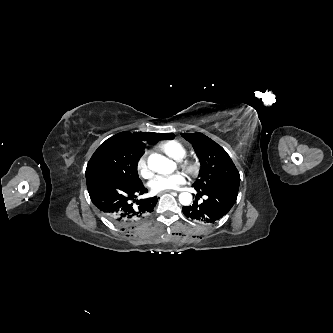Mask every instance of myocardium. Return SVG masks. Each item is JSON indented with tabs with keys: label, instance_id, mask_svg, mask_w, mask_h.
<instances>
[{
	"label": "myocardium",
	"instance_id": "f54148a6",
	"mask_svg": "<svg viewBox=\"0 0 333 333\" xmlns=\"http://www.w3.org/2000/svg\"><path fill=\"white\" fill-rule=\"evenodd\" d=\"M182 166L192 176L196 175L200 170V164L195 160H186L182 163Z\"/></svg>",
	"mask_w": 333,
	"mask_h": 333
}]
</instances>
